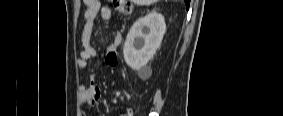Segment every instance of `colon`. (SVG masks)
Segmentation results:
<instances>
[{
  "mask_svg": "<svg viewBox=\"0 0 283 116\" xmlns=\"http://www.w3.org/2000/svg\"><path fill=\"white\" fill-rule=\"evenodd\" d=\"M113 8L116 12L128 15L132 12L131 1L128 0H113Z\"/></svg>",
  "mask_w": 283,
  "mask_h": 116,
  "instance_id": "colon-1",
  "label": "colon"
}]
</instances>
